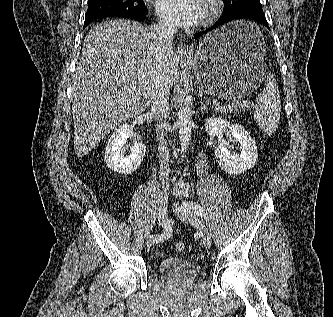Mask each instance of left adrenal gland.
<instances>
[{
  "instance_id": "obj_1",
  "label": "left adrenal gland",
  "mask_w": 333,
  "mask_h": 317,
  "mask_svg": "<svg viewBox=\"0 0 333 317\" xmlns=\"http://www.w3.org/2000/svg\"><path fill=\"white\" fill-rule=\"evenodd\" d=\"M200 103H201V108H200L201 111H203V110H208V108L206 107L204 101H201Z\"/></svg>"
}]
</instances>
